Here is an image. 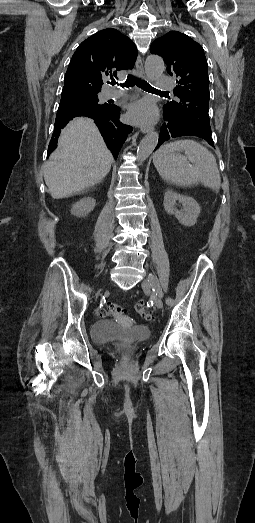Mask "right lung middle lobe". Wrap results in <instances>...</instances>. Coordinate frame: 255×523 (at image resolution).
Masks as SVG:
<instances>
[{
	"mask_svg": "<svg viewBox=\"0 0 255 523\" xmlns=\"http://www.w3.org/2000/svg\"><path fill=\"white\" fill-rule=\"evenodd\" d=\"M73 105L77 108L87 109L90 107V98L77 95L73 98Z\"/></svg>",
	"mask_w": 255,
	"mask_h": 523,
	"instance_id": "right-lung-middle-lobe-1",
	"label": "right lung middle lobe"
}]
</instances>
